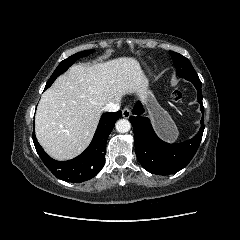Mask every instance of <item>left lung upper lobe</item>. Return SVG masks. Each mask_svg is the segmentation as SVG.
Masks as SVG:
<instances>
[{
  "label": "left lung upper lobe",
  "mask_w": 240,
  "mask_h": 240,
  "mask_svg": "<svg viewBox=\"0 0 240 240\" xmlns=\"http://www.w3.org/2000/svg\"><path fill=\"white\" fill-rule=\"evenodd\" d=\"M174 61V65L177 70V75L185 79H197L199 78L196 71L194 70L190 61L182 56L181 54L175 53L173 51L169 52Z\"/></svg>",
  "instance_id": "1"
}]
</instances>
